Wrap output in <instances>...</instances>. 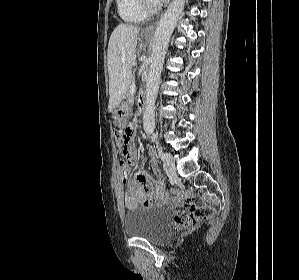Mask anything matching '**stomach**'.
<instances>
[{
  "instance_id": "0dacf381",
  "label": "stomach",
  "mask_w": 299,
  "mask_h": 280,
  "mask_svg": "<svg viewBox=\"0 0 299 280\" xmlns=\"http://www.w3.org/2000/svg\"><path fill=\"white\" fill-rule=\"evenodd\" d=\"M143 39L149 40V37L143 36ZM130 107H131V104L129 102H122L113 111L114 123L118 127H123L126 125L128 118H129Z\"/></svg>"
}]
</instances>
